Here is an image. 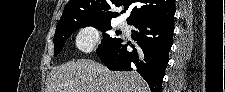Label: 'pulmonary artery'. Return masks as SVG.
Returning a JSON list of instances; mask_svg holds the SVG:
<instances>
[{"instance_id":"obj_1","label":"pulmonary artery","mask_w":225,"mask_h":92,"mask_svg":"<svg viewBox=\"0 0 225 92\" xmlns=\"http://www.w3.org/2000/svg\"><path fill=\"white\" fill-rule=\"evenodd\" d=\"M119 25H120V27H121L122 29H127V27H128L127 22L124 21V20H122V21L119 23Z\"/></svg>"}]
</instances>
